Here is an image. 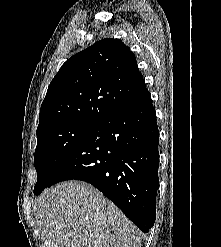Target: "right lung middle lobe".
<instances>
[{
    "mask_svg": "<svg viewBox=\"0 0 221 247\" xmlns=\"http://www.w3.org/2000/svg\"><path fill=\"white\" fill-rule=\"evenodd\" d=\"M97 124L73 122L37 133L34 164L37 183L34 194L47 188L57 171L74 149L92 132Z\"/></svg>",
    "mask_w": 221,
    "mask_h": 247,
    "instance_id": "right-lung-middle-lobe-1",
    "label": "right lung middle lobe"
}]
</instances>
